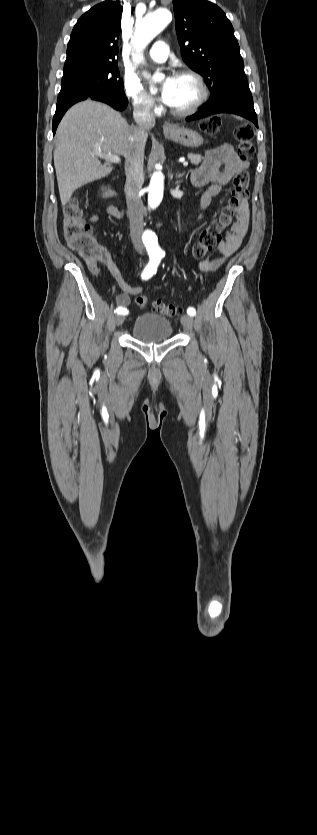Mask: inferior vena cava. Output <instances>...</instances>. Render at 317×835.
<instances>
[{"label":"inferior vena cava","mask_w":317,"mask_h":835,"mask_svg":"<svg viewBox=\"0 0 317 835\" xmlns=\"http://www.w3.org/2000/svg\"><path fill=\"white\" fill-rule=\"evenodd\" d=\"M133 117L136 125L130 128L129 147L125 156V194L130 236L135 249L143 253L142 233L144 206L139 192L144 182L143 162L147 132L155 125V116L149 104L134 103Z\"/></svg>","instance_id":"602c4592"}]
</instances>
